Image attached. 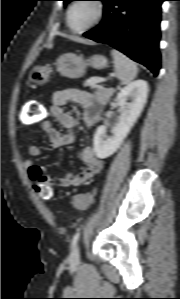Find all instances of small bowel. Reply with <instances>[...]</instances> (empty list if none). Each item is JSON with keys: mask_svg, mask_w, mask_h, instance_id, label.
Instances as JSON below:
<instances>
[{"mask_svg": "<svg viewBox=\"0 0 180 299\" xmlns=\"http://www.w3.org/2000/svg\"><path fill=\"white\" fill-rule=\"evenodd\" d=\"M68 102L78 103L84 108L82 120L85 127L89 129L98 123L101 116L102 104L92 93L81 89H66L56 92L51 98L50 110L54 120L65 128V131L57 129L49 120H44L41 124L43 131L48 135L49 145L53 148L69 145L76 138L74 129L77 122L70 113L64 110V106ZM28 154L31 158H34L40 154V150L36 145H30ZM80 156L85 165L80 172H68L64 175L52 176L45 168L35 165L31 160H27L25 162L27 176L35 183L55 182L63 187L81 186L102 170L103 161L95 155L91 147H84Z\"/></svg>", "mask_w": 180, "mask_h": 299, "instance_id": "small-bowel-1", "label": "small bowel"}]
</instances>
